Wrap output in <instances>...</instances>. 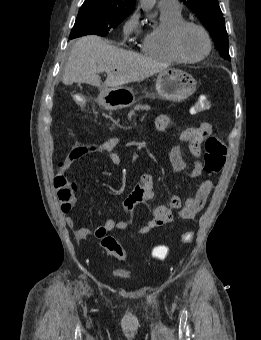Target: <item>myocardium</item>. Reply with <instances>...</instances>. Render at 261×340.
Listing matches in <instances>:
<instances>
[{
  "label": "myocardium",
  "instance_id": "myocardium-1",
  "mask_svg": "<svg viewBox=\"0 0 261 340\" xmlns=\"http://www.w3.org/2000/svg\"><path fill=\"white\" fill-rule=\"evenodd\" d=\"M189 26H193L198 28L204 35L205 39H206V43H207V48L206 51L203 55L197 57V58H188L186 57L180 50L179 48V37L180 34L182 33V31ZM169 44H170V48L173 51V53L178 57V59L182 62H186V63H197L200 62L204 59H206L212 50V40L210 37L209 32L207 31V29L200 23L196 22V21H192V20H182L179 23H177L170 32V36H169Z\"/></svg>",
  "mask_w": 261,
  "mask_h": 340
}]
</instances>
